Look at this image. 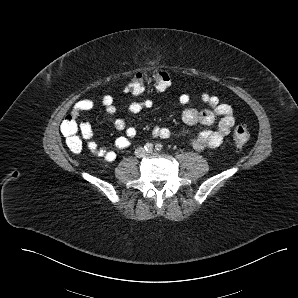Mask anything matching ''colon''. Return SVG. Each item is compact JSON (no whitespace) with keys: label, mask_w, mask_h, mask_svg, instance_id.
<instances>
[{"label":"colon","mask_w":298,"mask_h":298,"mask_svg":"<svg viewBox=\"0 0 298 298\" xmlns=\"http://www.w3.org/2000/svg\"><path fill=\"white\" fill-rule=\"evenodd\" d=\"M154 85L159 91L167 90L171 85V78L168 72L164 70L157 71L154 75ZM148 86L147 75L143 72H137L133 75L127 84L125 91L133 96L142 95ZM61 132L65 137L66 145L70 151L79 153L83 147V140L92 135L91 127L78 120L77 116L68 114L61 123ZM250 138V133L245 125H237L234 128L232 140L237 147L245 145Z\"/></svg>","instance_id":"5ec220e1"}]
</instances>
